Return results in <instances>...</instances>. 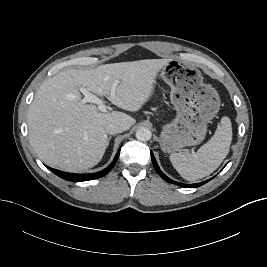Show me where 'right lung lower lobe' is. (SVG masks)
<instances>
[{
    "mask_svg": "<svg viewBox=\"0 0 267 267\" xmlns=\"http://www.w3.org/2000/svg\"><path fill=\"white\" fill-rule=\"evenodd\" d=\"M120 154V150L117 152L113 162L104 170L94 173V174H75V173H66L62 172L53 168L48 167L54 174L57 176L61 177L62 179H65L67 181H74V182H82V181H87V180H93L97 178H101L104 175H106L115 165L118 157Z\"/></svg>",
    "mask_w": 267,
    "mask_h": 267,
    "instance_id": "98d812e1",
    "label": "right lung lower lobe"
}]
</instances>
